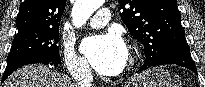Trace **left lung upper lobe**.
Here are the masks:
<instances>
[{
    "instance_id": "obj_1",
    "label": "left lung upper lobe",
    "mask_w": 205,
    "mask_h": 87,
    "mask_svg": "<svg viewBox=\"0 0 205 87\" xmlns=\"http://www.w3.org/2000/svg\"><path fill=\"white\" fill-rule=\"evenodd\" d=\"M129 32L144 45V64L154 65L173 45L185 41L175 0H119Z\"/></svg>"
}]
</instances>
